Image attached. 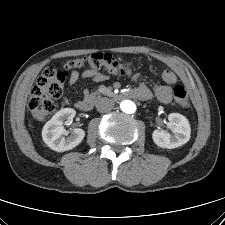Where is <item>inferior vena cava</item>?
Here are the masks:
<instances>
[{"mask_svg":"<svg viewBox=\"0 0 225 225\" xmlns=\"http://www.w3.org/2000/svg\"><path fill=\"white\" fill-rule=\"evenodd\" d=\"M114 107V102L106 97L99 98L96 103V109L99 112H108Z\"/></svg>","mask_w":225,"mask_h":225,"instance_id":"inferior-vena-cava-1","label":"inferior vena cava"}]
</instances>
